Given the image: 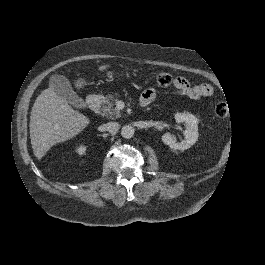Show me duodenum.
<instances>
[{
	"instance_id": "410a0bca",
	"label": "duodenum",
	"mask_w": 265,
	"mask_h": 265,
	"mask_svg": "<svg viewBox=\"0 0 265 265\" xmlns=\"http://www.w3.org/2000/svg\"><path fill=\"white\" fill-rule=\"evenodd\" d=\"M101 102H102V97L98 94H92L87 98V107L91 110L96 112L100 106H101Z\"/></svg>"
}]
</instances>
